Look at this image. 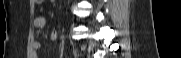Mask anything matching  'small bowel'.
<instances>
[{
  "label": "small bowel",
  "mask_w": 181,
  "mask_h": 58,
  "mask_svg": "<svg viewBox=\"0 0 181 58\" xmlns=\"http://www.w3.org/2000/svg\"><path fill=\"white\" fill-rule=\"evenodd\" d=\"M45 18L43 16H38L34 19V22H33V25H34V28H35V31H36V38L33 42V48L35 51H37L39 48H40V41H39V36L42 32V30L44 29L45 27ZM50 38L52 41H57L58 38H59V34L57 31H53L50 35ZM34 57L37 58V54L34 53Z\"/></svg>",
  "instance_id": "1"
}]
</instances>
